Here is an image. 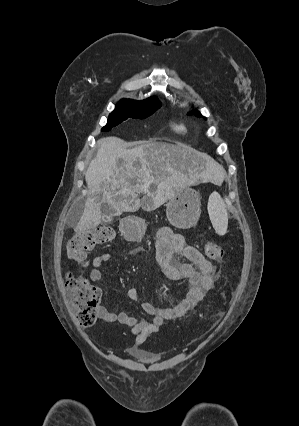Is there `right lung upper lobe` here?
<instances>
[{
  "mask_svg": "<svg viewBox=\"0 0 299 426\" xmlns=\"http://www.w3.org/2000/svg\"><path fill=\"white\" fill-rule=\"evenodd\" d=\"M122 101H133V100H122Z\"/></svg>",
  "mask_w": 299,
  "mask_h": 426,
  "instance_id": "obj_1",
  "label": "right lung upper lobe"
}]
</instances>
